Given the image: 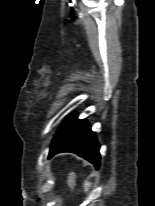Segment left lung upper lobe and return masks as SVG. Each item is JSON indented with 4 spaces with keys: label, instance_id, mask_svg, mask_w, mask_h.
<instances>
[{
    "label": "left lung upper lobe",
    "instance_id": "left-lung-upper-lobe-1",
    "mask_svg": "<svg viewBox=\"0 0 155 206\" xmlns=\"http://www.w3.org/2000/svg\"><path fill=\"white\" fill-rule=\"evenodd\" d=\"M76 115H71L65 119V121L62 123L60 128L58 129L52 144L53 145L56 141H58L61 137H63L66 133H68L71 128L78 122Z\"/></svg>",
    "mask_w": 155,
    "mask_h": 206
}]
</instances>
